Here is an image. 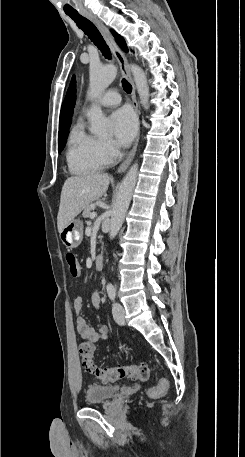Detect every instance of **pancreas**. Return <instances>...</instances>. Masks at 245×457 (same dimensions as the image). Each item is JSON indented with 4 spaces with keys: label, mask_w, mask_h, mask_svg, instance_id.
I'll return each mask as SVG.
<instances>
[{
    "label": "pancreas",
    "mask_w": 245,
    "mask_h": 457,
    "mask_svg": "<svg viewBox=\"0 0 245 457\" xmlns=\"http://www.w3.org/2000/svg\"><path fill=\"white\" fill-rule=\"evenodd\" d=\"M92 210H94V206H92V204H86V206L82 212V216H84V218H89Z\"/></svg>",
    "instance_id": "pancreas-1"
}]
</instances>
